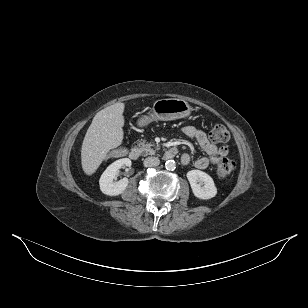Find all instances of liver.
Instances as JSON below:
<instances>
[{"label": "liver", "mask_w": 308, "mask_h": 308, "mask_svg": "<svg viewBox=\"0 0 308 308\" xmlns=\"http://www.w3.org/2000/svg\"><path fill=\"white\" fill-rule=\"evenodd\" d=\"M124 108V103H115L94 116L81 148V164L86 175L94 174L107 153L122 143Z\"/></svg>", "instance_id": "6515ba94"}]
</instances>
